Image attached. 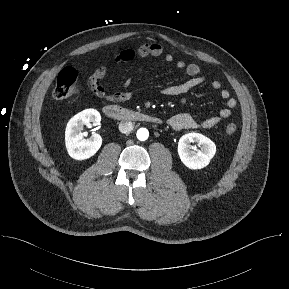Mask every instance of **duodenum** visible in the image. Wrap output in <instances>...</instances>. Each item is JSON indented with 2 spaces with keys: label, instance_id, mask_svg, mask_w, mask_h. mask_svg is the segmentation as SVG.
<instances>
[{
  "label": "duodenum",
  "instance_id": "obj_1",
  "mask_svg": "<svg viewBox=\"0 0 289 289\" xmlns=\"http://www.w3.org/2000/svg\"><path fill=\"white\" fill-rule=\"evenodd\" d=\"M103 113L111 119L121 121H135L152 124H160L162 122L161 119L156 116H152L142 112L123 109L117 105H108L104 107Z\"/></svg>",
  "mask_w": 289,
  "mask_h": 289
}]
</instances>
